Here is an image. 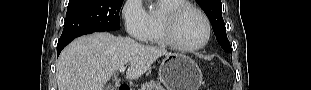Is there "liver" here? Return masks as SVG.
Returning <instances> with one entry per match:
<instances>
[{
  "label": "liver",
  "instance_id": "1",
  "mask_svg": "<svg viewBox=\"0 0 311 90\" xmlns=\"http://www.w3.org/2000/svg\"><path fill=\"white\" fill-rule=\"evenodd\" d=\"M163 47L143 45L129 37L94 33L72 41L56 65L58 90H104L105 83L129 64L127 79H138L161 56Z\"/></svg>",
  "mask_w": 311,
  "mask_h": 90
}]
</instances>
